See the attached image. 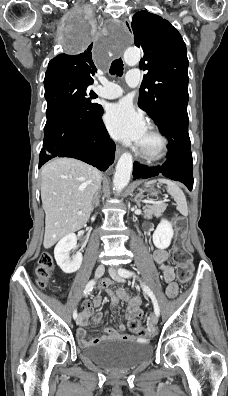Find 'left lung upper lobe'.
I'll return each mask as SVG.
<instances>
[{"mask_svg": "<svg viewBox=\"0 0 228 396\" xmlns=\"http://www.w3.org/2000/svg\"><path fill=\"white\" fill-rule=\"evenodd\" d=\"M135 45L143 50L140 67L147 72L138 105L156 123L168 107L188 102V58L180 33L162 17L140 11L132 18Z\"/></svg>", "mask_w": 228, "mask_h": 396, "instance_id": "left-lung-upper-lobe-1", "label": "left lung upper lobe"}]
</instances>
